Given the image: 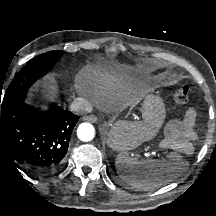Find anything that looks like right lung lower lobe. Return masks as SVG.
I'll list each match as a JSON object with an SVG mask.
<instances>
[{"instance_id":"98d812e1","label":"right lung lower lobe","mask_w":216,"mask_h":216,"mask_svg":"<svg viewBox=\"0 0 216 216\" xmlns=\"http://www.w3.org/2000/svg\"><path fill=\"white\" fill-rule=\"evenodd\" d=\"M27 92L2 102L0 156L20 164L36 177L59 171L79 116L56 104L39 112L24 102Z\"/></svg>"}]
</instances>
